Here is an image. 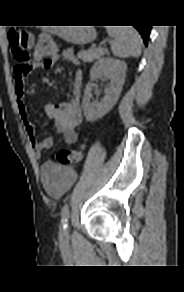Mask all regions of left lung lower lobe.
<instances>
[{
  "mask_svg": "<svg viewBox=\"0 0 184 292\" xmlns=\"http://www.w3.org/2000/svg\"><path fill=\"white\" fill-rule=\"evenodd\" d=\"M134 27L139 31V33L141 34V36L143 38L145 45H147L151 26L135 25Z\"/></svg>",
  "mask_w": 184,
  "mask_h": 292,
  "instance_id": "obj_1",
  "label": "left lung lower lobe"
}]
</instances>
